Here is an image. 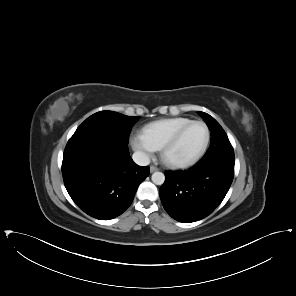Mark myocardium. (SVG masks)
Segmentation results:
<instances>
[{
    "mask_svg": "<svg viewBox=\"0 0 296 296\" xmlns=\"http://www.w3.org/2000/svg\"><path fill=\"white\" fill-rule=\"evenodd\" d=\"M201 125L203 126V128L205 129V141L203 146L201 147V149L198 151V153L196 155H194L191 158L188 159H184V160H177V161H172L169 160L167 158V152L168 150L178 141L179 137L182 135V133L189 128L192 125ZM210 141V131L208 126L203 122V121H199V120H191L190 122H188L187 124H185L184 126H182L181 128H179L163 145L162 147V159L170 166L173 167H186L189 165H192L194 163H196L206 152L208 144Z\"/></svg>",
    "mask_w": 296,
    "mask_h": 296,
    "instance_id": "myocardium-1",
    "label": "myocardium"
}]
</instances>
